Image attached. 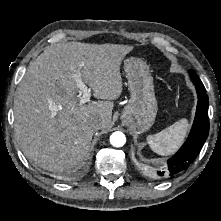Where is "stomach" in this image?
<instances>
[{
  "label": "stomach",
  "mask_w": 221,
  "mask_h": 221,
  "mask_svg": "<svg viewBox=\"0 0 221 221\" xmlns=\"http://www.w3.org/2000/svg\"><path fill=\"white\" fill-rule=\"evenodd\" d=\"M124 68L131 97L124 108L122 119L134 120L135 131L141 133L154 124L158 110L153 77L147 63L140 58L126 59Z\"/></svg>",
  "instance_id": "obj_1"
}]
</instances>
